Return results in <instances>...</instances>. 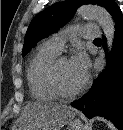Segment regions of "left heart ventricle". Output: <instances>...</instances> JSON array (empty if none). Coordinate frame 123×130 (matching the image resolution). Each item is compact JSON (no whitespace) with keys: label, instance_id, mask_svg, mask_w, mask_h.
Here are the masks:
<instances>
[{"label":"left heart ventricle","instance_id":"1","mask_svg":"<svg viewBox=\"0 0 123 130\" xmlns=\"http://www.w3.org/2000/svg\"><path fill=\"white\" fill-rule=\"evenodd\" d=\"M58 76L61 84L67 90H75L82 85V82L72 72L70 62L66 59L61 60L58 64Z\"/></svg>","mask_w":123,"mask_h":130}]
</instances>
